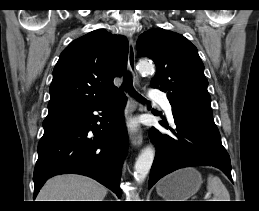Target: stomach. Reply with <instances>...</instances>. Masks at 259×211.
I'll return each instance as SVG.
<instances>
[{
    "label": "stomach",
    "mask_w": 259,
    "mask_h": 211,
    "mask_svg": "<svg viewBox=\"0 0 259 211\" xmlns=\"http://www.w3.org/2000/svg\"><path fill=\"white\" fill-rule=\"evenodd\" d=\"M201 184V174L195 168H184L163 178L157 185V193L166 201H186Z\"/></svg>",
    "instance_id": "0dacf381"
}]
</instances>
